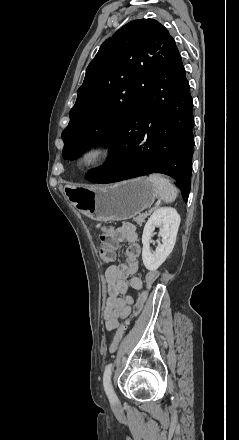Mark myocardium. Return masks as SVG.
Wrapping results in <instances>:
<instances>
[{"label":"myocardium","instance_id":"1","mask_svg":"<svg viewBox=\"0 0 239 440\" xmlns=\"http://www.w3.org/2000/svg\"><path fill=\"white\" fill-rule=\"evenodd\" d=\"M115 154L114 144L98 139L86 144L79 154V165L85 171H95L105 166Z\"/></svg>","mask_w":239,"mask_h":440}]
</instances>
